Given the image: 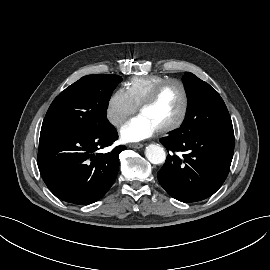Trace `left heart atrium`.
Instances as JSON below:
<instances>
[{
	"label": "left heart atrium",
	"mask_w": 270,
	"mask_h": 270,
	"mask_svg": "<svg viewBox=\"0 0 270 270\" xmlns=\"http://www.w3.org/2000/svg\"><path fill=\"white\" fill-rule=\"evenodd\" d=\"M157 131L156 125L140 114L122 126L120 137L126 143L140 142L153 136Z\"/></svg>",
	"instance_id": "1"
}]
</instances>
